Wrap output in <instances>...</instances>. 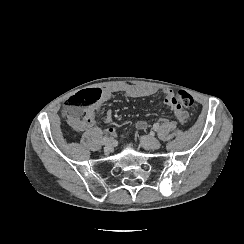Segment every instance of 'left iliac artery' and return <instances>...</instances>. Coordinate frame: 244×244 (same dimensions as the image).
<instances>
[{"label": "left iliac artery", "mask_w": 244, "mask_h": 244, "mask_svg": "<svg viewBox=\"0 0 244 244\" xmlns=\"http://www.w3.org/2000/svg\"><path fill=\"white\" fill-rule=\"evenodd\" d=\"M159 124L158 123H155L154 125H153V129H154V131H158L159 130Z\"/></svg>", "instance_id": "44dca946"}]
</instances>
